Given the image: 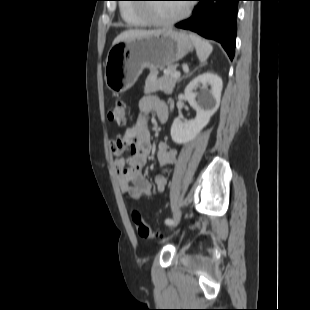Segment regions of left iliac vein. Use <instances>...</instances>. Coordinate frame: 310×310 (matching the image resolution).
I'll list each match as a JSON object with an SVG mask.
<instances>
[{
  "label": "left iliac vein",
  "mask_w": 310,
  "mask_h": 310,
  "mask_svg": "<svg viewBox=\"0 0 310 310\" xmlns=\"http://www.w3.org/2000/svg\"><path fill=\"white\" fill-rule=\"evenodd\" d=\"M181 215L180 214H176V216L174 217V220L172 222V224L169 225V227L172 229L174 227H176L180 221Z\"/></svg>",
  "instance_id": "1"
}]
</instances>
